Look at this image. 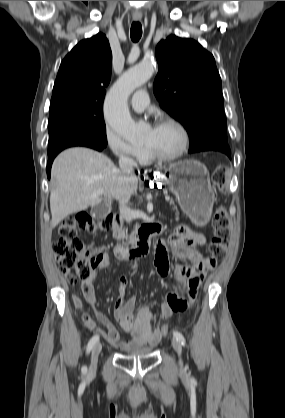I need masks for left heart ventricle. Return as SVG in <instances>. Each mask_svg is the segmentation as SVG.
<instances>
[{"instance_id": "obj_1", "label": "left heart ventricle", "mask_w": 285, "mask_h": 418, "mask_svg": "<svg viewBox=\"0 0 285 418\" xmlns=\"http://www.w3.org/2000/svg\"><path fill=\"white\" fill-rule=\"evenodd\" d=\"M181 142L182 137L177 128L163 125L150 128L143 144L151 147L158 154L168 156L179 150Z\"/></svg>"}]
</instances>
